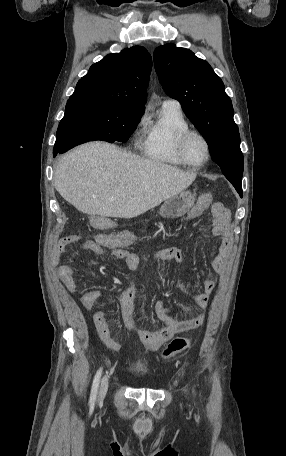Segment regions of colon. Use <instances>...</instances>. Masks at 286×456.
<instances>
[{
    "label": "colon",
    "mask_w": 286,
    "mask_h": 456,
    "mask_svg": "<svg viewBox=\"0 0 286 456\" xmlns=\"http://www.w3.org/2000/svg\"><path fill=\"white\" fill-rule=\"evenodd\" d=\"M198 203L201 206H208L212 203V195L209 193L203 194L200 196ZM77 235H72V239L75 240L77 239ZM103 240L109 244L112 242V237L111 236H105ZM188 347V341L184 338H176L174 339L168 347L164 350V356H170L177 354L183 350H185Z\"/></svg>",
    "instance_id": "1"
}]
</instances>
